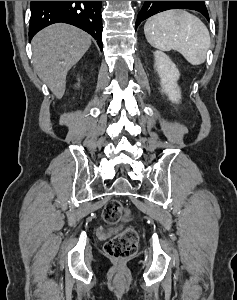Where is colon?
<instances>
[{
  "label": "colon",
  "instance_id": "obj_1",
  "mask_svg": "<svg viewBox=\"0 0 237 300\" xmlns=\"http://www.w3.org/2000/svg\"><path fill=\"white\" fill-rule=\"evenodd\" d=\"M124 215H128L118 200L109 201L102 210L103 220L109 224L117 223ZM138 235L133 228H127L120 234L110 238L104 245V251L111 258L124 261L132 257L137 250Z\"/></svg>",
  "mask_w": 237,
  "mask_h": 300
}]
</instances>
